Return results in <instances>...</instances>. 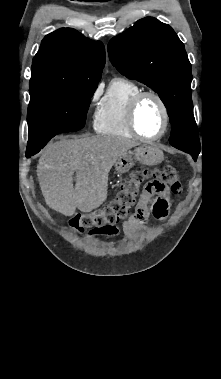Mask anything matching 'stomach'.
<instances>
[{
  "label": "stomach",
  "mask_w": 221,
  "mask_h": 379,
  "mask_svg": "<svg viewBox=\"0 0 221 379\" xmlns=\"http://www.w3.org/2000/svg\"><path fill=\"white\" fill-rule=\"evenodd\" d=\"M164 159L163 152L155 145L143 144L136 147L133 151L123 154L115 163V170L119 174L128 172L135 164L154 166L161 163Z\"/></svg>",
  "instance_id": "stomach-1"
}]
</instances>
